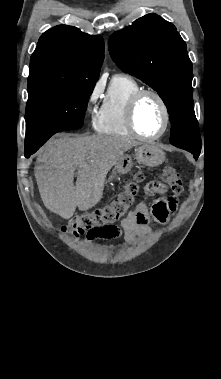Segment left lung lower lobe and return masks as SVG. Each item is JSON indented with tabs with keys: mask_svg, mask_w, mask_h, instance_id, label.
I'll use <instances>...</instances> for the list:
<instances>
[{
	"mask_svg": "<svg viewBox=\"0 0 221 379\" xmlns=\"http://www.w3.org/2000/svg\"><path fill=\"white\" fill-rule=\"evenodd\" d=\"M194 155V158L197 159L199 155H196V154H193Z\"/></svg>",
	"mask_w": 221,
	"mask_h": 379,
	"instance_id": "obj_1",
	"label": "left lung lower lobe"
}]
</instances>
